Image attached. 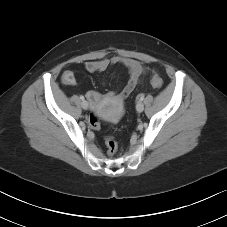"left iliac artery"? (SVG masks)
<instances>
[{"mask_svg": "<svg viewBox=\"0 0 227 227\" xmlns=\"http://www.w3.org/2000/svg\"><path fill=\"white\" fill-rule=\"evenodd\" d=\"M144 99V95H140V100L142 101Z\"/></svg>", "mask_w": 227, "mask_h": 227, "instance_id": "44dca946", "label": "left iliac artery"}]
</instances>
